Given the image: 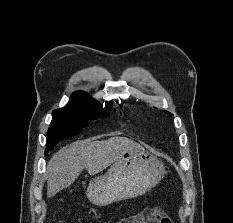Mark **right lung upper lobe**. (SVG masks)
Instances as JSON below:
<instances>
[{
	"instance_id": "cb5924a9",
	"label": "right lung upper lobe",
	"mask_w": 233,
	"mask_h": 223,
	"mask_svg": "<svg viewBox=\"0 0 233 223\" xmlns=\"http://www.w3.org/2000/svg\"><path fill=\"white\" fill-rule=\"evenodd\" d=\"M70 104H84V105H102L96 100L90 99L84 92H76L70 98ZM107 106H112V102L106 103Z\"/></svg>"
}]
</instances>
